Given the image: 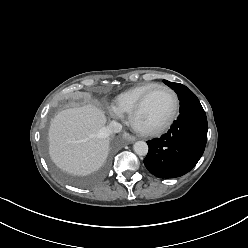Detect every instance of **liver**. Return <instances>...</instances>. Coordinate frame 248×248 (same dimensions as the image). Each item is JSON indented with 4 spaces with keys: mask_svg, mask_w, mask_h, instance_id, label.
Instances as JSON below:
<instances>
[{
    "mask_svg": "<svg viewBox=\"0 0 248 248\" xmlns=\"http://www.w3.org/2000/svg\"><path fill=\"white\" fill-rule=\"evenodd\" d=\"M105 123L104 113L92 105L58 113L48 133L53 162L73 175L84 176L97 171L109 152Z\"/></svg>",
    "mask_w": 248,
    "mask_h": 248,
    "instance_id": "obj_1",
    "label": "liver"
}]
</instances>
